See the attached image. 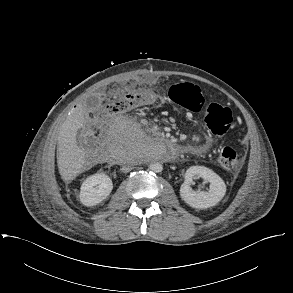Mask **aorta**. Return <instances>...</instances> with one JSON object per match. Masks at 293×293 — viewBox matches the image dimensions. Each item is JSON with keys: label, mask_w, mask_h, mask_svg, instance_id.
<instances>
[{"label": "aorta", "mask_w": 293, "mask_h": 293, "mask_svg": "<svg viewBox=\"0 0 293 293\" xmlns=\"http://www.w3.org/2000/svg\"><path fill=\"white\" fill-rule=\"evenodd\" d=\"M161 149H164V146L161 144ZM149 169L152 171V172H155V173H160L162 172L163 170V166L161 163L159 162H153L150 164L149 166Z\"/></svg>", "instance_id": "obj_1"}]
</instances>
